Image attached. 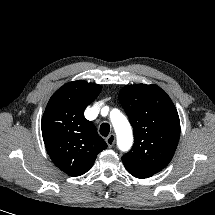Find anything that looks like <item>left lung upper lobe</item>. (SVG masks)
<instances>
[{"instance_id": "1", "label": "left lung upper lobe", "mask_w": 215, "mask_h": 215, "mask_svg": "<svg viewBox=\"0 0 215 215\" xmlns=\"http://www.w3.org/2000/svg\"><path fill=\"white\" fill-rule=\"evenodd\" d=\"M134 132V145L122 157L127 171L144 179L171 161L180 136V121L170 97L157 85L137 84L119 93Z\"/></svg>"}]
</instances>
